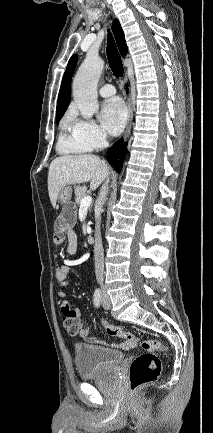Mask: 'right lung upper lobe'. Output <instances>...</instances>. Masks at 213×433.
I'll list each match as a JSON object with an SVG mask.
<instances>
[{"label":"right lung upper lobe","instance_id":"cb5924a9","mask_svg":"<svg viewBox=\"0 0 213 433\" xmlns=\"http://www.w3.org/2000/svg\"><path fill=\"white\" fill-rule=\"evenodd\" d=\"M112 29L115 35V39L119 48V51L121 55L124 57L127 52L128 48L125 42V37L123 30L121 28V25L117 19L113 21ZM77 63V55H73L67 65L66 71L64 73L59 95H58V101H57V108H56V120H60L61 117L64 115L66 108L69 105L70 102V95H71V79L73 75V71L75 68V65Z\"/></svg>","mask_w":213,"mask_h":433}]
</instances>
